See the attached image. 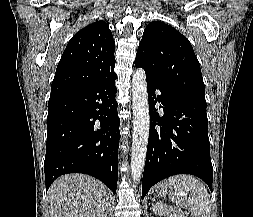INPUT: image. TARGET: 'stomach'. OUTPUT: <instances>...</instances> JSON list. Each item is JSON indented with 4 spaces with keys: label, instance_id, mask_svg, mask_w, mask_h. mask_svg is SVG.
Returning <instances> with one entry per match:
<instances>
[{
    "label": "stomach",
    "instance_id": "1",
    "mask_svg": "<svg viewBox=\"0 0 253 217\" xmlns=\"http://www.w3.org/2000/svg\"><path fill=\"white\" fill-rule=\"evenodd\" d=\"M170 192L169 185L167 182H161L156 187V195L157 196H165Z\"/></svg>",
    "mask_w": 253,
    "mask_h": 217
}]
</instances>
